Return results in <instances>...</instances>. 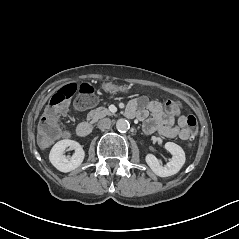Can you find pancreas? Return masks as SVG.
I'll return each mask as SVG.
<instances>
[{
  "mask_svg": "<svg viewBox=\"0 0 239 239\" xmlns=\"http://www.w3.org/2000/svg\"><path fill=\"white\" fill-rule=\"evenodd\" d=\"M113 114L107 110L106 108L98 107L94 110H91L87 114V120L90 121L91 124L97 122L99 119L104 118L105 116H112Z\"/></svg>",
  "mask_w": 239,
  "mask_h": 239,
  "instance_id": "obj_1",
  "label": "pancreas"
}]
</instances>
